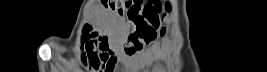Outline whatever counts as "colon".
Segmentation results:
<instances>
[{"label":"colon","instance_id":"1","mask_svg":"<svg viewBox=\"0 0 267 72\" xmlns=\"http://www.w3.org/2000/svg\"><path fill=\"white\" fill-rule=\"evenodd\" d=\"M103 4L118 13H127L132 33L124 40L123 46L128 54L139 51L145 43L157 36L159 30L160 34L164 33V29H160V24L169 8L164 7L160 1H149L142 5L137 0H105ZM88 42L89 38L83 37V51L88 57L84 58L85 65L93 71L108 68L109 66L104 64L105 51L110 48L108 42L102 39L95 48H91ZM96 59H99L100 63H97Z\"/></svg>","mask_w":267,"mask_h":72}]
</instances>
